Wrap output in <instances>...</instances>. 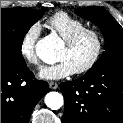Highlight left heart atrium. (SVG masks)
<instances>
[{"label": "left heart atrium", "mask_w": 123, "mask_h": 123, "mask_svg": "<svg viewBox=\"0 0 123 123\" xmlns=\"http://www.w3.org/2000/svg\"><path fill=\"white\" fill-rule=\"evenodd\" d=\"M74 67L67 60H60L55 64L45 66L41 69L39 76L46 80H59L72 75Z\"/></svg>", "instance_id": "obj_1"}]
</instances>
